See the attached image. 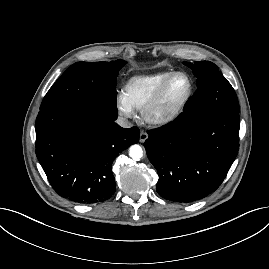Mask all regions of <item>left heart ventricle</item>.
<instances>
[{
	"label": "left heart ventricle",
	"instance_id": "obj_1",
	"mask_svg": "<svg viewBox=\"0 0 269 269\" xmlns=\"http://www.w3.org/2000/svg\"><path fill=\"white\" fill-rule=\"evenodd\" d=\"M187 90V79L184 76L175 77L168 85L158 110L166 111L177 105L184 98Z\"/></svg>",
	"mask_w": 269,
	"mask_h": 269
}]
</instances>
